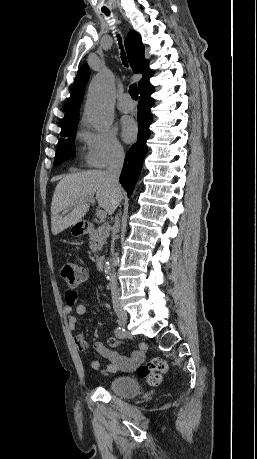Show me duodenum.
Here are the masks:
<instances>
[{"label": "duodenum", "instance_id": "obj_1", "mask_svg": "<svg viewBox=\"0 0 257 459\" xmlns=\"http://www.w3.org/2000/svg\"><path fill=\"white\" fill-rule=\"evenodd\" d=\"M76 229H77V232H76L77 235H88L95 230V226L91 222L86 221L82 223L81 225L77 226ZM104 262H105V258L103 256H99L96 258V265L99 269L103 268Z\"/></svg>", "mask_w": 257, "mask_h": 459}]
</instances>
